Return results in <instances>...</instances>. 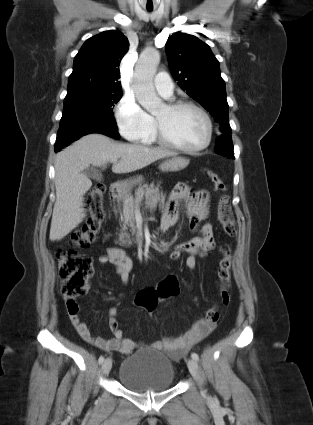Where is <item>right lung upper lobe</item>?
Segmentation results:
<instances>
[{"instance_id":"cb5924a9","label":"right lung upper lobe","mask_w":313,"mask_h":425,"mask_svg":"<svg viewBox=\"0 0 313 425\" xmlns=\"http://www.w3.org/2000/svg\"><path fill=\"white\" fill-rule=\"evenodd\" d=\"M129 48L123 33L110 30L89 38L75 56L67 94L80 91H122L119 64Z\"/></svg>"}]
</instances>
